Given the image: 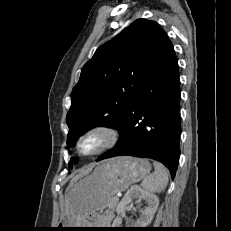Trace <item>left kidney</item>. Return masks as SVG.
Listing matches in <instances>:
<instances>
[{"label":"left kidney","mask_w":231,"mask_h":231,"mask_svg":"<svg viewBox=\"0 0 231 231\" xmlns=\"http://www.w3.org/2000/svg\"><path fill=\"white\" fill-rule=\"evenodd\" d=\"M134 199H136V202H141V200H144L147 206L144 208L137 221L133 224V227L145 228L151 223L159 205V198L155 194L144 191L139 186H133L126 192L125 196L116 208L118 216L113 221V228H119L120 224L122 223L120 216L125 214L127 205H129Z\"/></svg>","instance_id":"obj_1"}]
</instances>
